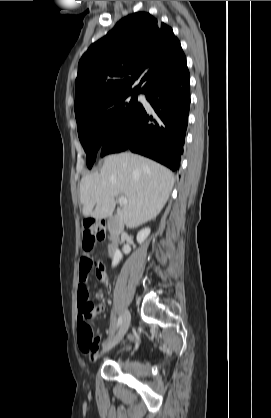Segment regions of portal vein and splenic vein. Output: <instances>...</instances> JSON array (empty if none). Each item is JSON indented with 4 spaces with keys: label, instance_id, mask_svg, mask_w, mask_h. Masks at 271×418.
<instances>
[{
    "label": "portal vein and splenic vein",
    "instance_id": "obj_1",
    "mask_svg": "<svg viewBox=\"0 0 271 418\" xmlns=\"http://www.w3.org/2000/svg\"><path fill=\"white\" fill-rule=\"evenodd\" d=\"M118 202L121 205H126L128 203L126 197H124V196L119 197Z\"/></svg>",
    "mask_w": 271,
    "mask_h": 418
}]
</instances>
